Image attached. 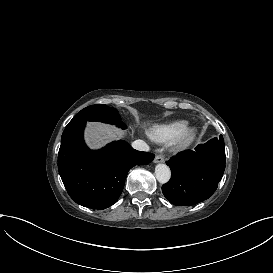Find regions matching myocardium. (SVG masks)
<instances>
[{
	"instance_id": "myocardium-1",
	"label": "myocardium",
	"mask_w": 273,
	"mask_h": 273,
	"mask_svg": "<svg viewBox=\"0 0 273 273\" xmlns=\"http://www.w3.org/2000/svg\"><path fill=\"white\" fill-rule=\"evenodd\" d=\"M199 133V127L196 125L187 126L179 137L175 141V145L178 149H184L188 147L197 137Z\"/></svg>"
}]
</instances>
